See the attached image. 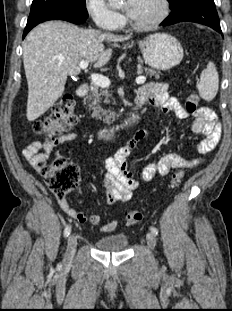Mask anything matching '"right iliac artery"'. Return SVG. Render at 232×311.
<instances>
[{
  "label": "right iliac artery",
  "instance_id": "82829eb1",
  "mask_svg": "<svg viewBox=\"0 0 232 311\" xmlns=\"http://www.w3.org/2000/svg\"><path fill=\"white\" fill-rule=\"evenodd\" d=\"M71 232V226H67L65 229H64V236L65 237H68L69 234Z\"/></svg>",
  "mask_w": 232,
  "mask_h": 311
}]
</instances>
